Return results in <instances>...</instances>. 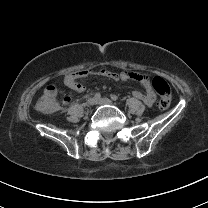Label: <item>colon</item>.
<instances>
[{
  "mask_svg": "<svg viewBox=\"0 0 208 208\" xmlns=\"http://www.w3.org/2000/svg\"><path fill=\"white\" fill-rule=\"evenodd\" d=\"M152 86L159 97L157 103L159 109H168L172 102V92L168 82L156 76L152 79ZM43 93L44 96L36 101V108L42 113L53 114L57 110V103L54 100L59 96V89L55 85H48Z\"/></svg>",
  "mask_w": 208,
  "mask_h": 208,
  "instance_id": "obj_1",
  "label": "colon"
}]
</instances>
